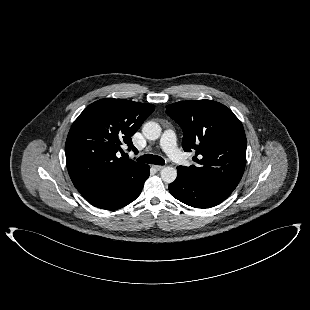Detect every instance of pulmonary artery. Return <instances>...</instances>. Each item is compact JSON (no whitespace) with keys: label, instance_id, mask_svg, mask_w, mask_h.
Instances as JSON below:
<instances>
[{"label":"pulmonary artery","instance_id":"e3ab8cb5","mask_svg":"<svg viewBox=\"0 0 310 310\" xmlns=\"http://www.w3.org/2000/svg\"><path fill=\"white\" fill-rule=\"evenodd\" d=\"M160 147L174 161L181 162L183 159L181 151L176 144V136L172 130H165L160 139Z\"/></svg>","mask_w":310,"mask_h":310}]
</instances>
